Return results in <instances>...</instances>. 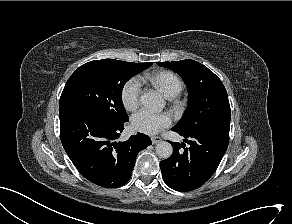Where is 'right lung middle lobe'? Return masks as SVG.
Segmentation results:
<instances>
[{"instance_id": "1", "label": "right lung middle lobe", "mask_w": 292, "mask_h": 224, "mask_svg": "<svg viewBox=\"0 0 292 224\" xmlns=\"http://www.w3.org/2000/svg\"><path fill=\"white\" fill-rule=\"evenodd\" d=\"M150 67L115 59L88 62L68 79L60 97L59 109L81 107L105 121L120 122L128 115L122 103V89L134 75Z\"/></svg>"}]
</instances>
